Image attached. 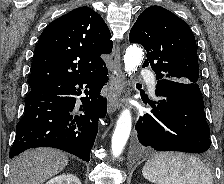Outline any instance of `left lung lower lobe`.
<instances>
[{
  "mask_svg": "<svg viewBox=\"0 0 224 184\" xmlns=\"http://www.w3.org/2000/svg\"><path fill=\"white\" fill-rule=\"evenodd\" d=\"M156 97L154 109L141 114L135 126L141 146L189 153L209 150L210 129L198 84L159 79Z\"/></svg>",
  "mask_w": 224,
  "mask_h": 184,
  "instance_id": "left-lung-lower-lobe-1",
  "label": "left lung lower lobe"
}]
</instances>
